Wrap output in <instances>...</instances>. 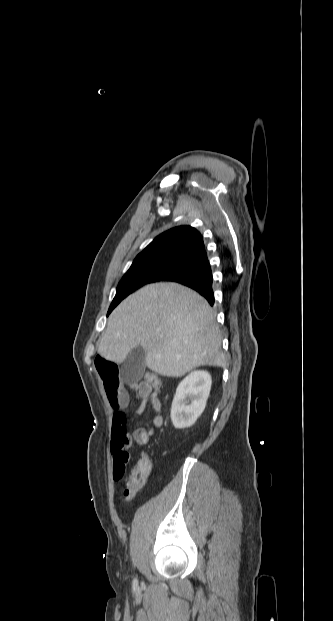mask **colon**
<instances>
[{"label": "colon", "instance_id": "1", "mask_svg": "<svg viewBox=\"0 0 333 621\" xmlns=\"http://www.w3.org/2000/svg\"><path fill=\"white\" fill-rule=\"evenodd\" d=\"M145 380L149 383V385L156 391H159L161 388L162 381L160 377L155 373H148L146 375ZM151 470V462L147 455H142L140 459L137 461L133 469L130 471L129 475L125 479L124 482V490H123V500L130 501L135 494L142 488L145 484L146 479ZM125 471L119 468H116L113 471V476L115 480H121L124 477Z\"/></svg>", "mask_w": 333, "mask_h": 621}]
</instances>
